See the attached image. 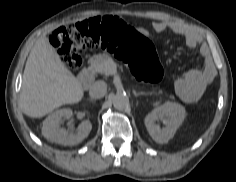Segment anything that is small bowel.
Returning <instances> with one entry per match:
<instances>
[{
  "label": "small bowel",
  "instance_id": "c3829d8e",
  "mask_svg": "<svg viewBox=\"0 0 236 182\" xmlns=\"http://www.w3.org/2000/svg\"><path fill=\"white\" fill-rule=\"evenodd\" d=\"M152 29L155 34H160L169 29L173 33L182 36L186 45L190 48H195L201 44V39L195 31L175 22L156 21L152 24ZM200 52L203 58V67L191 68L185 71L175 83L177 95L188 103L201 98L215 74V68L207 47L202 45Z\"/></svg>",
  "mask_w": 236,
  "mask_h": 182
}]
</instances>
